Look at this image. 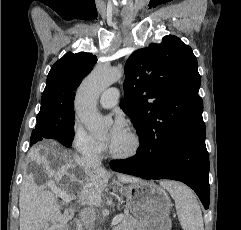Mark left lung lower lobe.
Here are the masks:
<instances>
[{"instance_id": "0a47b994", "label": "left lung lower lobe", "mask_w": 241, "mask_h": 230, "mask_svg": "<svg viewBox=\"0 0 241 230\" xmlns=\"http://www.w3.org/2000/svg\"><path fill=\"white\" fill-rule=\"evenodd\" d=\"M110 167L144 179L181 181L196 192L205 209L209 207V155L205 138L143 141L135 156L111 161Z\"/></svg>"}]
</instances>
